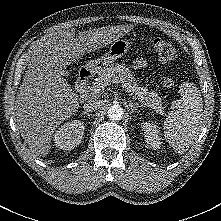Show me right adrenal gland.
<instances>
[{
	"label": "right adrenal gland",
	"instance_id": "1",
	"mask_svg": "<svg viewBox=\"0 0 221 221\" xmlns=\"http://www.w3.org/2000/svg\"><path fill=\"white\" fill-rule=\"evenodd\" d=\"M82 114H85V115L90 116V114H89V113H87L86 111H85V112H82Z\"/></svg>",
	"mask_w": 221,
	"mask_h": 221
}]
</instances>
